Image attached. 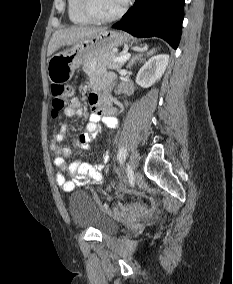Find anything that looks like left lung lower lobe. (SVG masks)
Wrapping results in <instances>:
<instances>
[{"label":"left lung lower lobe","instance_id":"1","mask_svg":"<svg viewBox=\"0 0 233 284\" xmlns=\"http://www.w3.org/2000/svg\"><path fill=\"white\" fill-rule=\"evenodd\" d=\"M185 0H135L112 27L137 37H160L176 49L182 32Z\"/></svg>","mask_w":233,"mask_h":284}]
</instances>
